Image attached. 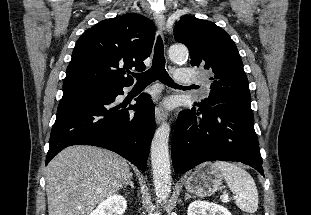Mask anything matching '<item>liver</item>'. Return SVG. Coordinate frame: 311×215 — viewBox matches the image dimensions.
Instances as JSON below:
<instances>
[{
  "label": "liver",
  "mask_w": 311,
  "mask_h": 215,
  "mask_svg": "<svg viewBox=\"0 0 311 215\" xmlns=\"http://www.w3.org/2000/svg\"><path fill=\"white\" fill-rule=\"evenodd\" d=\"M127 161L93 146H70L47 166L49 215H90L103 199L118 192L130 176Z\"/></svg>",
  "instance_id": "liver-1"
}]
</instances>
